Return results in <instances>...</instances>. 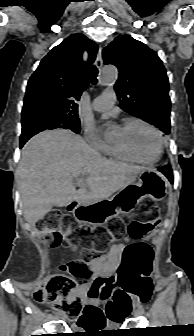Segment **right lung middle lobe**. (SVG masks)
Here are the masks:
<instances>
[{
	"label": "right lung middle lobe",
	"mask_w": 194,
	"mask_h": 336,
	"mask_svg": "<svg viewBox=\"0 0 194 336\" xmlns=\"http://www.w3.org/2000/svg\"><path fill=\"white\" fill-rule=\"evenodd\" d=\"M56 128L70 129L75 133H79L80 120L78 117L65 115H41L34 117L32 120L22 122L21 140L33 133L34 136L46 129L52 130Z\"/></svg>",
	"instance_id": "1"
}]
</instances>
